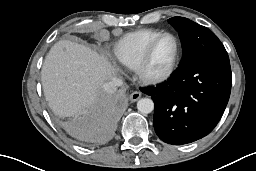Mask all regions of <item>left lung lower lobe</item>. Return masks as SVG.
<instances>
[{
	"mask_svg": "<svg viewBox=\"0 0 256 171\" xmlns=\"http://www.w3.org/2000/svg\"><path fill=\"white\" fill-rule=\"evenodd\" d=\"M231 84L227 53H212L181 64L162 85L140 90L154 101L158 137L182 145L214 129L228 103Z\"/></svg>",
	"mask_w": 256,
	"mask_h": 171,
	"instance_id": "0a47b994",
	"label": "left lung lower lobe"
}]
</instances>
